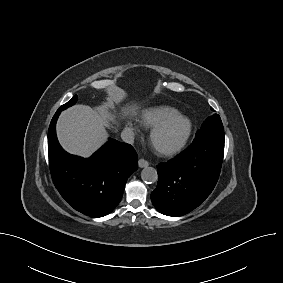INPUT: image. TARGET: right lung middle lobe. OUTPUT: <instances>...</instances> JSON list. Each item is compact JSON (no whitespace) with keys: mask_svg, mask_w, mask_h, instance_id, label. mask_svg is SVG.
<instances>
[{"mask_svg":"<svg viewBox=\"0 0 283 283\" xmlns=\"http://www.w3.org/2000/svg\"><path fill=\"white\" fill-rule=\"evenodd\" d=\"M77 95H75L70 101H68L66 104L62 105L59 110H64V109H67L68 107L74 105L77 101Z\"/></svg>","mask_w":283,"mask_h":283,"instance_id":"obj_1","label":"right lung middle lobe"}]
</instances>
